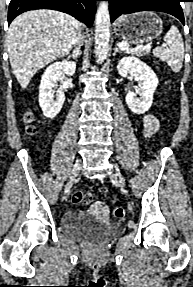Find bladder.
Instances as JSON below:
<instances>
[{
	"mask_svg": "<svg viewBox=\"0 0 193 287\" xmlns=\"http://www.w3.org/2000/svg\"><path fill=\"white\" fill-rule=\"evenodd\" d=\"M60 230L70 238L96 242L116 236L120 227L108 221H99L95 215H85V210L72 209L63 214Z\"/></svg>",
	"mask_w": 193,
	"mask_h": 287,
	"instance_id": "1",
	"label": "bladder"
}]
</instances>
